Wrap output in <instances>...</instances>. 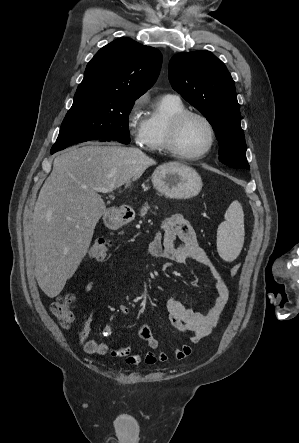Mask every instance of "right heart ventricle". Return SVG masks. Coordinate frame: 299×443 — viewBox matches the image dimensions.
I'll return each mask as SVG.
<instances>
[{"label": "right heart ventricle", "instance_id": "e07e8e85", "mask_svg": "<svg viewBox=\"0 0 299 443\" xmlns=\"http://www.w3.org/2000/svg\"><path fill=\"white\" fill-rule=\"evenodd\" d=\"M186 110L180 98L165 95L158 99L145 120V130L140 142L150 152H166V136L171 118Z\"/></svg>", "mask_w": 299, "mask_h": 443}]
</instances>
